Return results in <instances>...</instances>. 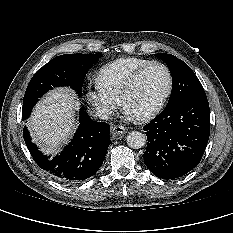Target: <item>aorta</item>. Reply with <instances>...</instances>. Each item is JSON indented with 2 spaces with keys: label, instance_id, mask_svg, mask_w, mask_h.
<instances>
[{
  "label": "aorta",
  "instance_id": "762f6f07",
  "mask_svg": "<svg viewBox=\"0 0 233 233\" xmlns=\"http://www.w3.org/2000/svg\"><path fill=\"white\" fill-rule=\"evenodd\" d=\"M126 142L129 147L139 149L146 144V136L141 132L132 131L128 134Z\"/></svg>",
  "mask_w": 233,
  "mask_h": 233
}]
</instances>
